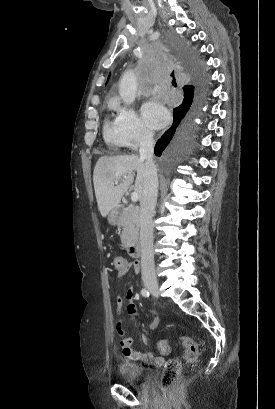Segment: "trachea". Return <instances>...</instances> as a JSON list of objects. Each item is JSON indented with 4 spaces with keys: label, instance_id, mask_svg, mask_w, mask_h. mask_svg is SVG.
Segmentation results:
<instances>
[{
    "label": "trachea",
    "instance_id": "1",
    "mask_svg": "<svg viewBox=\"0 0 275 409\" xmlns=\"http://www.w3.org/2000/svg\"><path fill=\"white\" fill-rule=\"evenodd\" d=\"M172 77H173V80H172V85L174 86V87H176L177 86V84H176V81H175V77H174V72H172Z\"/></svg>",
    "mask_w": 275,
    "mask_h": 409
}]
</instances>
